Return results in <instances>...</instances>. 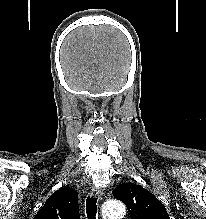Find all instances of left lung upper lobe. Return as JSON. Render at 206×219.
<instances>
[{
  "label": "left lung upper lobe",
  "instance_id": "5c2ea615",
  "mask_svg": "<svg viewBox=\"0 0 206 219\" xmlns=\"http://www.w3.org/2000/svg\"><path fill=\"white\" fill-rule=\"evenodd\" d=\"M112 193L124 202L131 219H170L165 206L140 185L119 184Z\"/></svg>",
  "mask_w": 206,
  "mask_h": 219
}]
</instances>
